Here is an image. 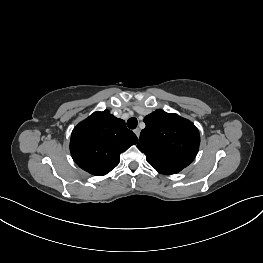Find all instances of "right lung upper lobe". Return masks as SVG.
<instances>
[{"label": "right lung upper lobe", "mask_w": 263, "mask_h": 263, "mask_svg": "<svg viewBox=\"0 0 263 263\" xmlns=\"http://www.w3.org/2000/svg\"><path fill=\"white\" fill-rule=\"evenodd\" d=\"M138 138L108 110L94 112L72 131L70 152L83 170L102 176L120 162V154L136 144Z\"/></svg>", "instance_id": "cb5924a9"}]
</instances>
